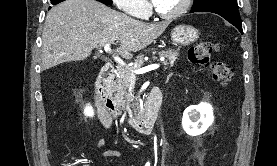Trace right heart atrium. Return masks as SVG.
<instances>
[{
	"label": "right heart atrium",
	"instance_id": "right-heart-atrium-1",
	"mask_svg": "<svg viewBox=\"0 0 277 166\" xmlns=\"http://www.w3.org/2000/svg\"><path fill=\"white\" fill-rule=\"evenodd\" d=\"M118 9L132 15V16H144L149 9V5L146 0H112Z\"/></svg>",
	"mask_w": 277,
	"mask_h": 166
}]
</instances>
